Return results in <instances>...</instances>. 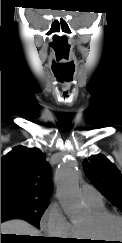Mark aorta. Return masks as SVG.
Wrapping results in <instances>:
<instances>
[{
  "label": "aorta",
  "mask_w": 122,
  "mask_h": 243,
  "mask_svg": "<svg viewBox=\"0 0 122 243\" xmlns=\"http://www.w3.org/2000/svg\"><path fill=\"white\" fill-rule=\"evenodd\" d=\"M79 178L77 164L70 159L61 162L55 173L57 197L71 221L83 214V203L78 189Z\"/></svg>",
  "instance_id": "762f6f07"
}]
</instances>
